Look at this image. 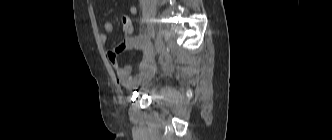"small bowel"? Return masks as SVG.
<instances>
[{"mask_svg": "<svg viewBox=\"0 0 332 140\" xmlns=\"http://www.w3.org/2000/svg\"><path fill=\"white\" fill-rule=\"evenodd\" d=\"M129 12L130 14L135 15L137 13V7L131 6ZM113 29V24L111 22L107 21L103 24V30L99 35L102 43L108 41V35L113 32ZM131 49H135L141 54L139 72L137 74L133 73L132 65L122 67L118 64L117 60L119 53ZM107 57L115 70L117 81L127 88H133L140 85L147 81L152 75L151 47L149 42L142 36L125 35L113 49L108 51Z\"/></svg>", "mask_w": 332, "mask_h": 140, "instance_id": "1", "label": "small bowel"}]
</instances>
